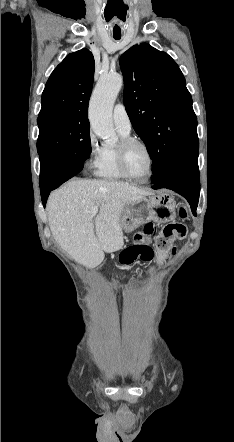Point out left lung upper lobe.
Here are the masks:
<instances>
[{"label":"left lung upper lobe","mask_w":234,"mask_h":442,"mask_svg":"<svg viewBox=\"0 0 234 442\" xmlns=\"http://www.w3.org/2000/svg\"><path fill=\"white\" fill-rule=\"evenodd\" d=\"M124 105L153 161L152 181L172 165L181 148L197 137V118L185 78L175 61L149 44L120 57Z\"/></svg>","instance_id":"5c2ea615"}]
</instances>
